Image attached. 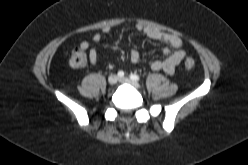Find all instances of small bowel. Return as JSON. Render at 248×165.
Instances as JSON below:
<instances>
[{"instance_id":"obj_1","label":"small bowel","mask_w":248,"mask_h":165,"mask_svg":"<svg viewBox=\"0 0 248 165\" xmlns=\"http://www.w3.org/2000/svg\"><path fill=\"white\" fill-rule=\"evenodd\" d=\"M137 31L143 33L146 37L159 41L164 44L165 59L155 60L151 63V68L156 71H164L167 74H173L177 66L181 63L185 57V50L183 48V42L177 35L163 32L154 27L137 25ZM108 27L102 28L99 32L95 33L92 37L93 42H99L104 35L109 33ZM89 40H83L80 43L82 50H88L89 62L91 65H96L98 61V53L95 48L90 47ZM129 60L133 64H137L140 61V53L137 50H132L129 54Z\"/></svg>"}]
</instances>
